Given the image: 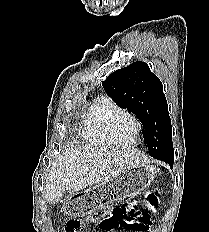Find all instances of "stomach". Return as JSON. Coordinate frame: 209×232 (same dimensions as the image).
<instances>
[{"label": "stomach", "instance_id": "1", "mask_svg": "<svg viewBox=\"0 0 209 232\" xmlns=\"http://www.w3.org/2000/svg\"><path fill=\"white\" fill-rule=\"evenodd\" d=\"M157 168L149 164H140L127 171H119V176H112L111 182H101V186H92L84 194H72V198L64 201L63 214L70 218L84 221L87 214H94L104 209L109 203L119 199H127L143 191L156 177Z\"/></svg>", "mask_w": 209, "mask_h": 232}]
</instances>
